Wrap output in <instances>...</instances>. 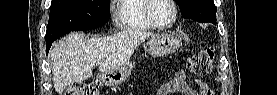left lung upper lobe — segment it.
<instances>
[{"label":"left lung upper lobe","instance_id":"left-lung-upper-lobe-1","mask_svg":"<svg viewBox=\"0 0 277 95\" xmlns=\"http://www.w3.org/2000/svg\"><path fill=\"white\" fill-rule=\"evenodd\" d=\"M176 3L184 18L216 24V6L213 0H176Z\"/></svg>","mask_w":277,"mask_h":95}]
</instances>
